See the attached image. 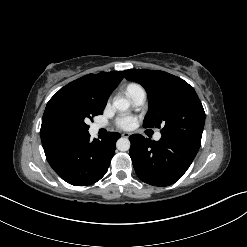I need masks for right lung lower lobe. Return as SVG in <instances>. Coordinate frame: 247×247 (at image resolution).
Returning <instances> with one entry per match:
<instances>
[{"instance_id":"98d812e1","label":"right lung lower lobe","mask_w":247,"mask_h":247,"mask_svg":"<svg viewBox=\"0 0 247 247\" xmlns=\"http://www.w3.org/2000/svg\"><path fill=\"white\" fill-rule=\"evenodd\" d=\"M119 134L108 133L101 140H90V134L81 139L44 148L53 170L74 186L90 185L107 172L115 154Z\"/></svg>"}]
</instances>
